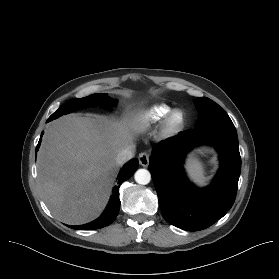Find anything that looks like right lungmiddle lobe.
<instances>
[{
	"label": "right lung middle lobe",
	"mask_w": 279,
	"mask_h": 279,
	"mask_svg": "<svg viewBox=\"0 0 279 279\" xmlns=\"http://www.w3.org/2000/svg\"><path fill=\"white\" fill-rule=\"evenodd\" d=\"M110 99L105 94H93L89 97H84L81 99H71L65 104H63L55 113H53L47 121H51L53 119L58 118L64 114L70 113L73 110H77L79 108L88 107L91 105H99L102 107H109Z\"/></svg>",
	"instance_id": "dd1d6c3e"
}]
</instances>
